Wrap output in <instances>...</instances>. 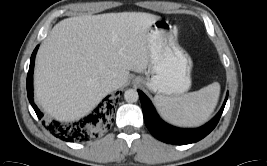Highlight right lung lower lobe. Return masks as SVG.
<instances>
[{
	"label": "right lung lower lobe",
	"mask_w": 267,
	"mask_h": 166,
	"mask_svg": "<svg viewBox=\"0 0 267 166\" xmlns=\"http://www.w3.org/2000/svg\"><path fill=\"white\" fill-rule=\"evenodd\" d=\"M37 49L38 46L33 51L30 59V66L27 75V95L38 118L41 119L43 114L34 104L33 100V69ZM115 105V100L110 96H107L91 114L83 119L72 124H62L57 121H52L47 124V129L54 136L66 142L87 141L94 136L97 137L99 131L109 126L111 117L115 110Z\"/></svg>",
	"instance_id": "obj_1"
}]
</instances>
